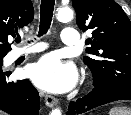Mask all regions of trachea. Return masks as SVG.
<instances>
[{
    "label": "trachea",
    "instance_id": "trachea-1",
    "mask_svg": "<svg viewBox=\"0 0 131 115\" xmlns=\"http://www.w3.org/2000/svg\"><path fill=\"white\" fill-rule=\"evenodd\" d=\"M55 0H42L40 6V26H39V36L46 34L50 28L53 10H54ZM15 41L19 43L20 38H16Z\"/></svg>",
    "mask_w": 131,
    "mask_h": 115
}]
</instances>
